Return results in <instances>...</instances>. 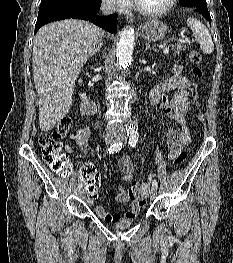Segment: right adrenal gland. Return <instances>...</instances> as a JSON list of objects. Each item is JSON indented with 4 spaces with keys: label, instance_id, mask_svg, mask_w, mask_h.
Segmentation results:
<instances>
[{
    "label": "right adrenal gland",
    "instance_id": "2a0ac1e0",
    "mask_svg": "<svg viewBox=\"0 0 233 263\" xmlns=\"http://www.w3.org/2000/svg\"><path fill=\"white\" fill-rule=\"evenodd\" d=\"M101 47H102V43L99 42L97 44V47L91 52L90 57L94 56L97 52L100 53Z\"/></svg>",
    "mask_w": 233,
    "mask_h": 263
}]
</instances>
